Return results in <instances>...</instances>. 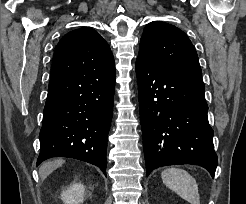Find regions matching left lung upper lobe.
<instances>
[{"label": "left lung upper lobe", "instance_id": "1", "mask_svg": "<svg viewBox=\"0 0 246 204\" xmlns=\"http://www.w3.org/2000/svg\"><path fill=\"white\" fill-rule=\"evenodd\" d=\"M137 60L156 68L202 78L198 56L186 34L179 28L154 21L144 28Z\"/></svg>", "mask_w": 246, "mask_h": 204}]
</instances>
